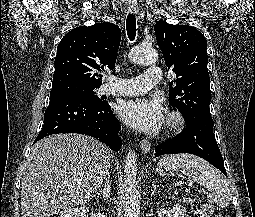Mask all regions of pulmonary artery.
Listing matches in <instances>:
<instances>
[{
	"mask_svg": "<svg viewBox=\"0 0 255 217\" xmlns=\"http://www.w3.org/2000/svg\"><path fill=\"white\" fill-rule=\"evenodd\" d=\"M161 80V70L149 67L143 74L131 78L109 76L104 92L108 95L135 96L141 95L158 84Z\"/></svg>",
	"mask_w": 255,
	"mask_h": 217,
	"instance_id": "pulmonary-artery-1",
	"label": "pulmonary artery"
}]
</instances>
